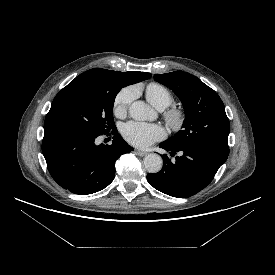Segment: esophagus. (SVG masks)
Returning a JSON list of instances; mask_svg holds the SVG:
<instances>
[{"instance_id":"34e87169","label":"esophagus","mask_w":275,"mask_h":275,"mask_svg":"<svg viewBox=\"0 0 275 275\" xmlns=\"http://www.w3.org/2000/svg\"><path fill=\"white\" fill-rule=\"evenodd\" d=\"M136 154L139 156H145V155H147V152L141 151V150H136Z\"/></svg>"}]
</instances>
